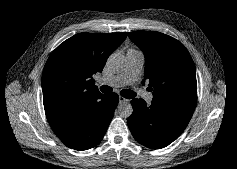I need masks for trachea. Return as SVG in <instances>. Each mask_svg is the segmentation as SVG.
Listing matches in <instances>:
<instances>
[{
    "instance_id": "trachea-1",
    "label": "trachea",
    "mask_w": 237,
    "mask_h": 169,
    "mask_svg": "<svg viewBox=\"0 0 237 169\" xmlns=\"http://www.w3.org/2000/svg\"><path fill=\"white\" fill-rule=\"evenodd\" d=\"M100 90L103 92V93H110L111 92V87L109 86H106V85H102L100 87ZM121 94L123 97L125 98H134L136 96V93L131 91V90H122L121 91Z\"/></svg>"
}]
</instances>
